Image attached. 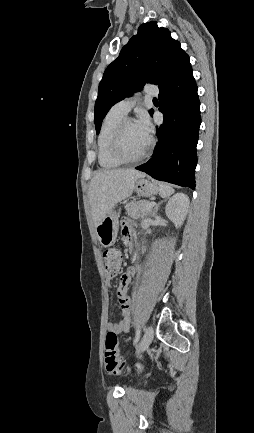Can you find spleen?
<instances>
[{"mask_svg": "<svg viewBox=\"0 0 254 433\" xmlns=\"http://www.w3.org/2000/svg\"><path fill=\"white\" fill-rule=\"evenodd\" d=\"M173 193H174V189L169 184L159 183V194L162 197L170 196Z\"/></svg>", "mask_w": 254, "mask_h": 433, "instance_id": "1", "label": "spleen"}]
</instances>
